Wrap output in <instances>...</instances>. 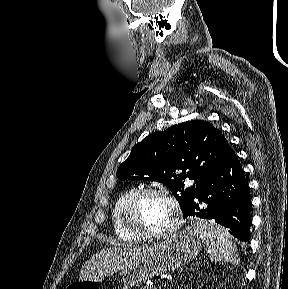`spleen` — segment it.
Returning a JSON list of instances; mask_svg holds the SVG:
<instances>
[{
	"instance_id": "1",
	"label": "spleen",
	"mask_w": 288,
	"mask_h": 289,
	"mask_svg": "<svg viewBox=\"0 0 288 289\" xmlns=\"http://www.w3.org/2000/svg\"><path fill=\"white\" fill-rule=\"evenodd\" d=\"M192 227L208 247L211 261H223L239 265L240 259L237 247L223 226L213 221L197 220Z\"/></svg>"
}]
</instances>
